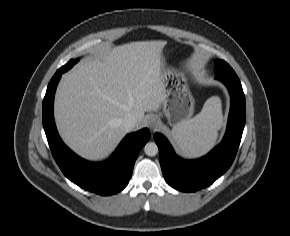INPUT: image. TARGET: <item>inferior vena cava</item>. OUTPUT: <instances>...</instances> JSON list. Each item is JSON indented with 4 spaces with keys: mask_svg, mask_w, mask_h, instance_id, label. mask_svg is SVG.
Here are the masks:
<instances>
[{
    "mask_svg": "<svg viewBox=\"0 0 290 236\" xmlns=\"http://www.w3.org/2000/svg\"><path fill=\"white\" fill-rule=\"evenodd\" d=\"M137 124V119L132 115H127L121 121L122 128L126 131H132Z\"/></svg>",
    "mask_w": 290,
    "mask_h": 236,
    "instance_id": "1",
    "label": "inferior vena cava"
}]
</instances>
